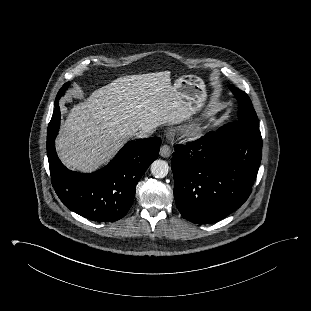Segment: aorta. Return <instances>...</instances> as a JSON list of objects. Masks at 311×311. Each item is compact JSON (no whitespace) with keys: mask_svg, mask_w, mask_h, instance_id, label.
Returning <instances> with one entry per match:
<instances>
[{"mask_svg":"<svg viewBox=\"0 0 311 311\" xmlns=\"http://www.w3.org/2000/svg\"><path fill=\"white\" fill-rule=\"evenodd\" d=\"M169 172V165L164 160H155L151 164V173L156 178H164Z\"/></svg>","mask_w":311,"mask_h":311,"instance_id":"aorta-1","label":"aorta"}]
</instances>
